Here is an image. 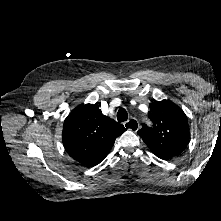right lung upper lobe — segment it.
Wrapping results in <instances>:
<instances>
[{"instance_id": "cb5924a9", "label": "right lung upper lobe", "mask_w": 221, "mask_h": 221, "mask_svg": "<svg viewBox=\"0 0 221 221\" xmlns=\"http://www.w3.org/2000/svg\"><path fill=\"white\" fill-rule=\"evenodd\" d=\"M124 131L123 125L102 114L98 104L80 105L64 121L63 144L73 159L92 167L107 156Z\"/></svg>"}]
</instances>
